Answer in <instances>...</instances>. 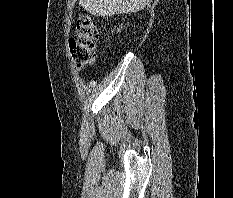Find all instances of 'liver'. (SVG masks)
Listing matches in <instances>:
<instances>
[{"label": "liver", "mask_w": 233, "mask_h": 198, "mask_svg": "<svg viewBox=\"0 0 233 198\" xmlns=\"http://www.w3.org/2000/svg\"><path fill=\"white\" fill-rule=\"evenodd\" d=\"M149 0H79L80 6L94 16H112L142 10Z\"/></svg>", "instance_id": "1"}]
</instances>
